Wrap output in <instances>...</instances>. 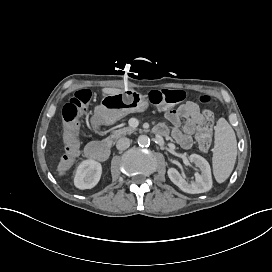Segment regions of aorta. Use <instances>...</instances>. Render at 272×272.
I'll return each instance as SVG.
<instances>
[{
    "mask_svg": "<svg viewBox=\"0 0 272 272\" xmlns=\"http://www.w3.org/2000/svg\"><path fill=\"white\" fill-rule=\"evenodd\" d=\"M137 142L140 146H147L150 143V138L147 135H140Z\"/></svg>",
    "mask_w": 272,
    "mask_h": 272,
    "instance_id": "762f6f07",
    "label": "aorta"
}]
</instances>
